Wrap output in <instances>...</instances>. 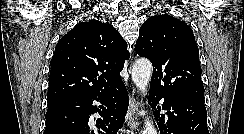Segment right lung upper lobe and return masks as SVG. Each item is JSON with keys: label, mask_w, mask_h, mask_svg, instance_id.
<instances>
[{"label": "right lung upper lobe", "mask_w": 244, "mask_h": 134, "mask_svg": "<svg viewBox=\"0 0 244 134\" xmlns=\"http://www.w3.org/2000/svg\"><path fill=\"white\" fill-rule=\"evenodd\" d=\"M129 56L126 41L111 24L97 20L79 23L56 45L47 100L102 92L121 78Z\"/></svg>", "instance_id": "obj_1"}]
</instances>
